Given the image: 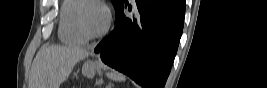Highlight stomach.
<instances>
[{
	"label": "stomach",
	"instance_id": "obj_1",
	"mask_svg": "<svg viewBox=\"0 0 267 88\" xmlns=\"http://www.w3.org/2000/svg\"><path fill=\"white\" fill-rule=\"evenodd\" d=\"M98 70V64L94 61L88 60L82 67V74L86 77L92 78Z\"/></svg>",
	"mask_w": 267,
	"mask_h": 88
}]
</instances>
